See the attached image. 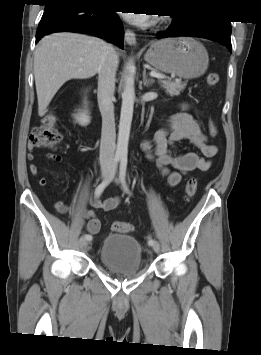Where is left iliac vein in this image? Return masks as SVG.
<instances>
[{
  "label": "left iliac vein",
  "instance_id": "4c4485c4",
  "mask_svg": "<svg viewBox=\"0 0 261 355\" xmlns=\"http://www.w3.org/2000/svg\"><path fill=\"white\" fill-rule=\"evenodd\" d=\"M152 247H153V250H154L156 253H158V252L160 251V245H159L158 242H155V243L152 245Z\"/></svg>",
  "mask_w": 261,
  "mask_h": 355
}]
</instances>
